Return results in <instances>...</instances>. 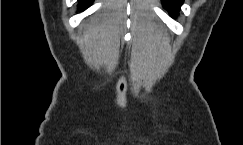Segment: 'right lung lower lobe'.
Returning <instances> with one entry per match:
<instances>
[{"instance_id": "obj_1", "label": "right lung lower lobe", "mask_w": 243, "mask_h": 145, "mask_svg": "<svg viewBox=\"0 0 243 145\" xmlns=\"http://www.w3.org/2000/svg\"><path fill=\"white\" fill-rule=\"evenodd\" d=\"M80 1V11L86 9L91 3H92V0H79Z\"/></svg>"}]
</instances>
